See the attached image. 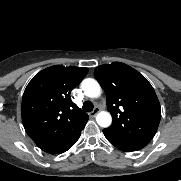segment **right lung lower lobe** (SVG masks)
Segmentation results:
<instances>
[{
  "label": "right lung lower lobe",
  "instance_id": "98d812e1",
  "mask_svg": "<svg viewBox=\"0 0 181 181\" xmlns=\"http://www.w3.org/2000/svg\"><path fill=\"white\" fill-rule=\"evenodd\" d=\"M83 128L79 131L78 135L66 147H64L63 149H61V150H59L57 152L50 153V154H61V153L66 152L67 150H69L76 143L78 138L80 137V134H81V131L83 130Z\"/></svg>",
  "mask_w": 181,
  "mask_h": 181
}]
</instances>
